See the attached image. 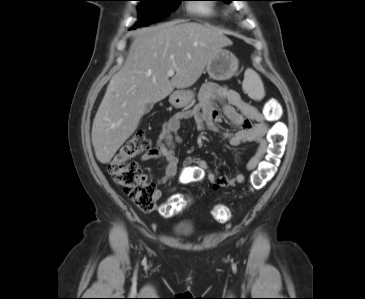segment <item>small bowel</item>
<instances>
[{"label":"small bowel","instance_id":"c3829d8e","mask_svg":"<svg viewBox=\"0 0 365 299\" xmlns=\"http://www.w3.org/2000/svg\"><path fill=\"white\" fill-rule=\"evenodd\" d=\"M221 113L236 127L235 131L223 132V136L231 146L237 147L246 142L257 145L255 154L246 165L248 171H254L267 151L268 120L254 106L243 100L238 92L227 90L214 83L203 86L199 102L195 107L172 115L162 125L156 146L144 153L141 160L162 161L165 164V174L160 182L165 183L171 180L177 173L179 163L174 147L181 141L178 131L182 121L191 120L198 130L207 128L218 131L216 123L221 119ZM197 180H206L213 188L233 187L243 183L245 175L241 172L232 177L216 174L209 169L203 159L187 157L184 160V172L180 182L190 183ZM161 194L162 192L157 190V198Z\"/></svg>","mask_w":365,"mask_h":299}]
</instances>
